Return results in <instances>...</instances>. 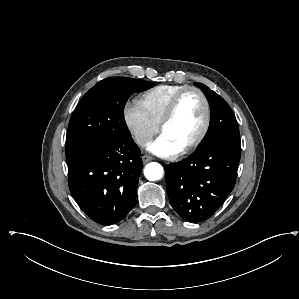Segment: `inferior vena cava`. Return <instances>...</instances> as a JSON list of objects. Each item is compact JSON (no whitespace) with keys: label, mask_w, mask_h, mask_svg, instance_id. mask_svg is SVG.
Masks as SVG:
<instances>
[{"label":"inferior vena cava","mask_w":299,"mask_h":299,"mask_svg":"<svg viewBox=\"0 0 299 299\" xmlns=\"http://www.w3.org/2000/svg\"><path fill=\"white\" fill-rule=\"evenodd\" d=\"M148 140H149V138L146 135L141 134V135L136 136V141H137L138 144H144Z\"/></svg>","instance_id":"602c4592"}]
</instances>
